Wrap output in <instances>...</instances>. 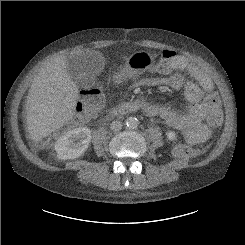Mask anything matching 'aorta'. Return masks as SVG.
I'll list each match as a JSON object with an SVG mask.
<instances>
[{"label":"aorta","mask_w":245,"mask_h":245,"mask_svg":"<svg viewBox=\"0 0 245 245\" xmlns=\"http://www.w3.org/2000/svg\"><path fill=\"white\" fill-rule=\"evenodd\" d=\"M126 125H127V127L132 128V129L136 128L138 126V120H137V118L129 117L126 120Z\"/></svg>","instance_id":"1"}]
</instances>
